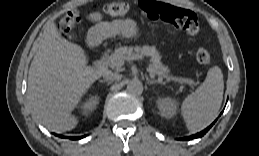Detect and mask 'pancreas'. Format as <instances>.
Here are the masks:
<instances>
[{"label":"pancreas","instance_id":"1","mask_svg":"<svg viewBox=\"0 0 259 156\" xmlns=\"http://www.w3.org/2000/svg\"><path fill=\"white\" fill-rule=\"evenodd\" d=\"M144 56L150 57L151 67L154 69V73L160 77H164L166 80H171L173 77L169 75V69L162 64L161 57L154 47L147 45L144 46H123L114 51L108 57V65L119 70L124 61L140 59Z\"/></svg>","mask_w":259,"mask_h":156}]
</instances>
